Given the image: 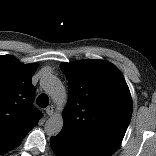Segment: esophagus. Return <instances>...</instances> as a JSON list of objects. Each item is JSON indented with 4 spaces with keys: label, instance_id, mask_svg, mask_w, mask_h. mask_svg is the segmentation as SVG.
<instances>
[{
    "label": "esophagus",
    "instance_id": "obj_1",
    "mask_svg": "<svg viewBox=\"0 0 156 156\" xmlns=\"http://www.w3.org/2000/svg\"><path fill=\"white\" fill-rule=\"evenodd\" d=\"M46 113H47L49 116L53 115V113H54V107H53L52 105L48 106V107L46 108Z\"/></svg>",
    "mask_w": 156,
    "mask_h": 156
}]
</instances>
